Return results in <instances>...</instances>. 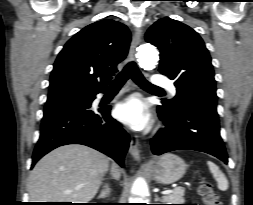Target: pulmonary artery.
I'll use <instances>...</instances> for the list:
<instances>
[{
  "label": "pulmonary artery",
  "mask_w": 253,
  "mask_h": 205,
  "mask_svg": "<svg viewBox=\"0 0 253 205\" xmlns=\"http://www.w3.org/2000/svg\"><path fill=\"white\" fill-rule=\"evenodd\" d=\"M153 83L158 86H162V87L167 88L172 95H176V93H177V90H176L173 82L168 79H162L159 77H155L153 79Z\"/></svg>",
  "instance_id": "pulmonary-artery-1"
}]
</instances>
